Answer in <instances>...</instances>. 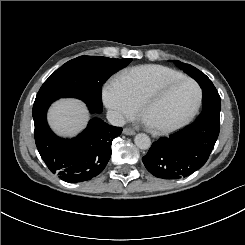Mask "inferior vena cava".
<instances>
[{
  "label": "inferior vena cava",
  "mask_w": 245,
  "mask_h": 245,
  "mask_svg": "<svg viewBox=\"0 0 245 245\" xmlns=\"http://www.w3.org/2000/svg\"><path fill=\"white\" fill-rule=\"evenodd\" d=\"M107 119L114 126L121 127L125 125V119L123 115L118 111H113V110L108 111Z\"/></svg>",
  "instance_id": "602c4592"
}]
</instances>
